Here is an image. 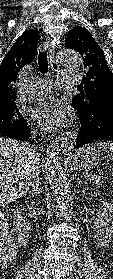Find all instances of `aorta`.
Masks as SVG:
<instances>
[{
  "label": "aorta",
  "instance_id": "aorta-1",
  "mask_svg": "<svg viewBox=\"0 0 113 279\" xmlns=\"http://www.w3.org/2000/svg\"><path fill=\"white\" fill-rule=\"evenodd\" d=\"M57 54L62 64L72 70L78 69L82 64V58L75 50L62 48ZM67 144V138H59L56 143L47 150L45 158V171L50 188L56 198L58 210L64 218H69L72 212L70 186L59 158V151L61 148L66 147Z\"/></svg>",
  "mask_w": 113,
  "mask_h": 279
}]
</instances>
